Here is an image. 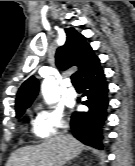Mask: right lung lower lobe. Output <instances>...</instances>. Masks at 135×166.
Wrapping results in <instances>:
<instances>
[{
    "label": "right lung lower lobe",
    "instance_id": "98d812e1",
    "mask_svg": "<svg viewBox=\"0 0 135 166\" xmlns=\"http://www.w3.org/2000/svg\"><path fill=\"white\" fill-rule=\"evenodd\" d=\"M80 82L87 97L82 104L88 107L85 112H74L71 117V131L74 137L86 145L102 149L101 128L107 117L108 83L100 60L83 71Z\"/></svg>",
    "mask_w": 135,
    "mask_h": 166
}]
</instances>
